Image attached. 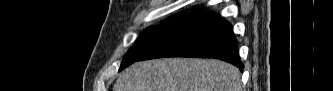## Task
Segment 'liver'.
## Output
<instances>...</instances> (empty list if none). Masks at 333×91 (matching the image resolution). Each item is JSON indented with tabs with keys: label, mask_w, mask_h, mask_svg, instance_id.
Returning a JSON list of instances; mask_svg holds the SVG:
<instances>
[{
	"label": "liver",
	"mask_w": 333,
	"mask_h": 91,
	"mask_svg": "<svg viewBox=\"0 0 333 91\" xmlns=\"http://www.w3.org/2000/svg\"><path fill=\"white\" fill-rule=\"evenodd\" d=\"M240 71L220 60L168 58L127 68L113 91H241Z\"/></svg>",
	"instance_id": "1"
}]
</instances>
